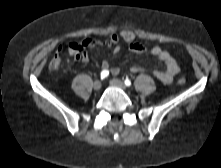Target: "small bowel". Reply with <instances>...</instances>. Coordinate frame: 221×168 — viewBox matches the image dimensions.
I'll return each instance as SVG.
<instances>
[{
  "mask_svg": "<svg viewBox=\"0 0 221 168\" xmlns=\"http://www.w3.org/2000/svg\"><path fill=\"white\" fill-rule=\"evenodd\" d=\"M119 37L116 34H113L108 39V44L113 45V53L118 54L120 52V46L118 45ZM95 44V41L89 40L83 43H70L68 45V49L70 52L75 51L76 55L74 58L76 60H81L83 62L88 61V56L86 52H84V48L88 46H92ZM129 51L136 53V54H142L147 51V48L140 44L135 42V40L132 43H127ZM150 53L157 57L161 62L165 64V70H155L154 76L161 81L162 83L169 84L173 81L175 75H177L180 72V67L177 64L176 60L171 56V54L165 50H163L159 46H154L150 49ZM101 67L103 70L111 71L112 75H117L120 72V68L118 66L110 68V64L108 61L104 60L101 64ZM131 71L133 73L141 72L143 69L141 67L134 66L131 68Z\"/></svg>",
  "mask_w": 221,
  "mask_h": 168,
  "instance_id": "c3829d8e",
  "label": "small bowel"
}]
</instances>
